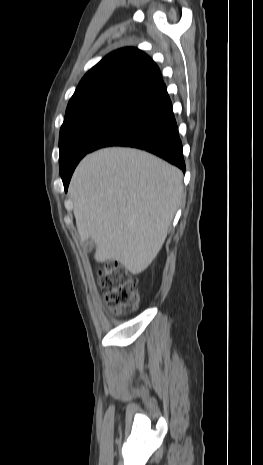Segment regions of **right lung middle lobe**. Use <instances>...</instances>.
Segmentation results:
<instances>
[{
  "mask_svg": "<svg viewBox=\"0 0 263 465\" xmlns=\"http://www.w3.org/2000/svg\"><path fill=\"white\" fill-rule=\"evenodd\" d=\"M137 99L108 97L66 111L59 135L61 177L72 173L99 138L128 111Z\"/></svg>",
  "mask_w": 263,
  "mask_h": 465,
  "instance_id": "obj_1",
  "label": "right lung middle lobe"
}]
</instances>
